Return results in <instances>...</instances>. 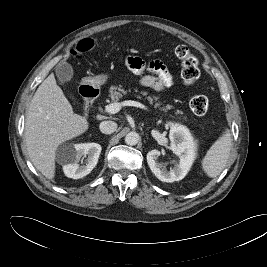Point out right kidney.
<instances>
[{
	"mask_svg": "<svg viewBox=\"0 0 267 267\" xmlns=\"http://www.w3.org/2000/svg\"><path fill=\"white\" fill-rule=\"evenodd\" d=\"M101 146L97 143L75 144L72 148L67 163L63 166L65 175L69 178L79 179L88 175L98 162ZM87 156L86 165H80V159Z\"/></svg>",
	"mask_w": 267,
	"mask_h": 267,
	"instance_id": "ca27d5eb",
	"label": "right kidney"
}]
</instances>
